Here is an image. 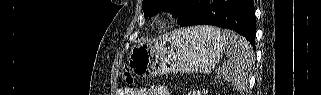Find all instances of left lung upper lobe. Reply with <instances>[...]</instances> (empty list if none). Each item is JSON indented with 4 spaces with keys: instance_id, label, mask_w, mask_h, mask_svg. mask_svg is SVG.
Wrapping results in <instances>:
<instances>
[{
    "instance_id": "obj_1",
    "label": "left lung upper lobe",
    "mask_w": 321,
    "mask_h": 95,
    "mask_svg": "<svg viewBox=\"0 0 321 95\" xmlns=\"http://www.w3.org/2000/svg\"><path fill=\"white\" fill-rule=\"evenodd\" d=\"M188 0H143L142 9L145 17L155 16L160 10H170L175 17Z\"/></svg>"
}]
</instances>
